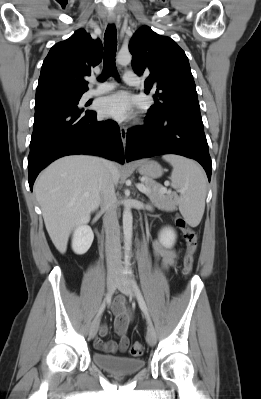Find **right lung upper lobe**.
<instances>
[{"mask_svg": "<svg viewBox=\"0 0 261 399\" xmlns=\"http://www.w3.org/2000/svg\"><path fill=\"white\" fill-rule=\"evenodd\" d=\"M102 44L85 30L55 44L43 61L35 101L72 95L88 90L84 76L102 60Z\"/></svg>", "mask_w": 261, "mask_h": 399, "instance_id": "right-lung-upper-lobe-1", "label": "right lung upper lobe"}]
</instances>
